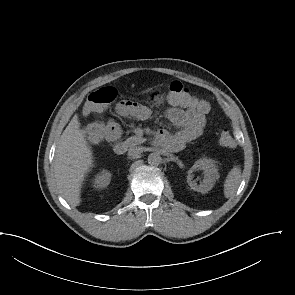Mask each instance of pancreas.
I'll return each mask as SVG.
<instances>
[{
    "mask_svg": "<svg viewBox=\"0 0 295 295\" xmlns=\"http://www.w3.org/2000/svg\"><path fill=\"white\" fill-rule=\"evenodd\" d=\"M145 140H146L145 138L140 137V136H131L125 141V143L129 147H134L136 145L143 143Z\"/></svg>",
    "mask_w": 295,
    "mask_h": 295,
    "instance_id": "1",
    "label": "pancreas"
}]
</instances>
